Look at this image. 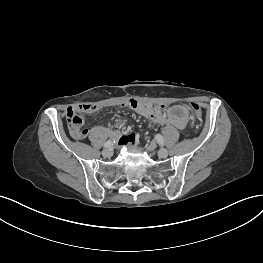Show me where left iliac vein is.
<instances>
[{
	"instance_id": "4c4485c4",
	"label": "left iliac vein",
	"mask_w": 263,
	"mask_h": 263,
	"mask_svg": "<svg viewBox=\"0 0 263 263\" xmlns=\"http://www.w3.org/2000/svg\"><path fill=\"white\" fill-rule=\"evenodd\" d=\"M158 156L160 158H166L168 156V151L164 148L158 150Z\"/></svg>"
}]
</instances>
